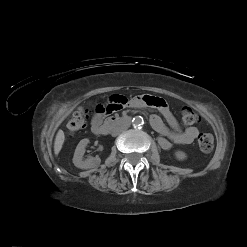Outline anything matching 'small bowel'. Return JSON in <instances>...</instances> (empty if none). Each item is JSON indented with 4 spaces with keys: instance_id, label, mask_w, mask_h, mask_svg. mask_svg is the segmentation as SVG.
I'll return each instance as SVG.
<instances>
[{
    "instance_id": "1",
    "label": "small bowel",
    "mask_w": 247,
    "mask_h": 247,
    "mask_svg": "<svg viewBox=\"0 0 247 247\" xmlns=\"http://www.w3.org/2000/svg\"><path fill=\"white\" fill-rule=\"evenodd\" d=\"M133 108L144 109L147 107L156 109L161 116L165 119L168 126L163 122L161 117L157 114H152L150 117V123L154 130L160 134L158 138L159 146L168 150L172 147V144H191L198 136L199 131L196 127H188L182 129L172 114L169 106L159 97L154 96H138L129 100L121 94H116L109 97L106 104L100 103L96 105L95 110L97 114L92 118L91 127L95 131L101 124L103 116L116 113L124 109L127 105Z\"/></svg>"
}]
</instances>
